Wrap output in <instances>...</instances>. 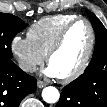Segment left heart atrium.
<instances>
[{"label":"left heart atrium","instance_id":"1","mask_svg":"<svg viewBox=\"0 0 107 107\" xmlns=\"http://www.w3.org/2000/svg\"><path fill=\"white\" fill-rule=\"evenodd\" d=\"M44 73L49 76V77H58L57 72L55 71V69L49 65L45 70Z\"/></svg>","mask_w":107,"mask_h":107}]
</instances>
